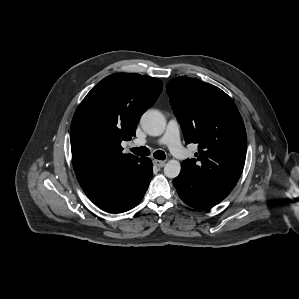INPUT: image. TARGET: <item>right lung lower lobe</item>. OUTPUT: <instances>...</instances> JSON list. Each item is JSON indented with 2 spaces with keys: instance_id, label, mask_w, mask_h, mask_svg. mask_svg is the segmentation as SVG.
I'll return each instance as SVG.
<instances>
[{
  "instance_id": "1",
  "label": "right lung lower lobe",
  "mask_w": 299,
  "mask_h": 299,
  "mask_svg": "<svg viewBox=\"0 0 299 299\" xmlns=\"http://www.w3.org/2000/svg\"><path fill=\"white\" fill-rule=\"evenodd\" d=\"M153 175L149 158H139L127 166L100 176H77L88 198L110 213L134 208L143 198Z\"/></svg>"
}]
</instances>
